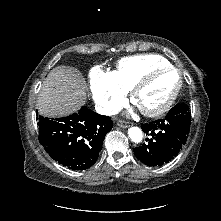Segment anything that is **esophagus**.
Instances as JSON below:
<instances>
[{
  "instance_id": "esophagus-1",
  "label": "esophagus",
  "mask_w": 221,
  "mask_h": 221,
  "mask_svg": "<svg viewBox=\"0 0 221 221\" xmlns=\"http://www.w3.org/2000/svg\"><path fill=\"white\" fill-rule=\"evenodd\" d=\"M117 125L122 128H128L130 126V123L127 121L119 120L117 121Z\"/></svg>"
}]
</instances>
